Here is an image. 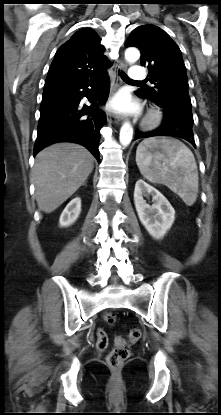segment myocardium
I'll return each instance as SVG.
<instances>
[{
	"label": "myocardium",
	"instance_id": "myocardium-1",
	"mask_svg": "<svg viewBox=\"0 0 221 415\" xmlns=\"http://www.w3.org/2000/svg\"><path fill=\"white\" fill-rule=\"evenodd\" d=\"M162 119L163 114L161 110L158 108H151L143 120V127L146 129H153L161 123Z\"/></svg>",
	"mask_w": 221,
	"mask_h": 415
}]
</instances>
